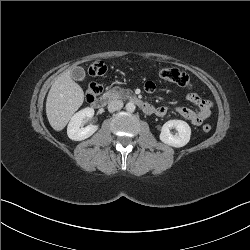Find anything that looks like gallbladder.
I'll return each mask as SVG.
<instances>
[{"instance_id":"bac80fb5","label":"gallbladder","mask_w":250,"mask_h":250,"mask_svg":"<svg viewBox=\"0 0 250 250\" xmlns=\"http://www.w3.org/2000/svg\"><path fill=\"white\" fill-rule=\"evenodd\" d=\"M71 76L76 81H82L85 78V71L82 67H75L71 70Z\"/></svg>"}]
</instances>
